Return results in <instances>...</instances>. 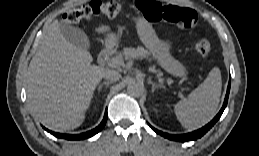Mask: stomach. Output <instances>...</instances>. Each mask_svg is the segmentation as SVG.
<instances>
[{"instance_id":"stomach-1","label":"stomach","mask_w":259,"mask_h":156,"mask_svg":"<svg viewBox=\"0 0 259 156\" xmlns=\"http://www.w3.org/2000/svg\"><path fill=\"white\" fill-rule=\"evenodd\" d=\"M136 27L142 43L157 64L173 76L185 77L187 74L186 68L171 55L170 44L160 40L150 24L145 20L137 19ZM109 41L116 42L117 37L114 34H111L109 36Z\"/></svg>"}]
</instances>
